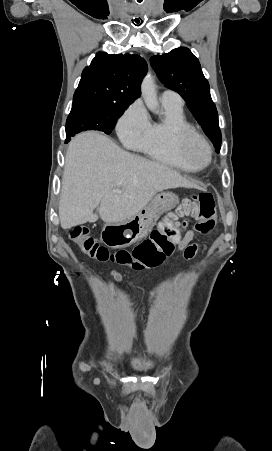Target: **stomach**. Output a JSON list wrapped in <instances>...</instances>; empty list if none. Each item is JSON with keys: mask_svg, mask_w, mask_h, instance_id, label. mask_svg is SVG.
Returning <instances> with one entry per match:
<instances>
[{"mask_svg": "<svg viewBox=\"0 0 272 451\" xmlns=\"http://www.w3.org/2000/svg\"><path fill=\"white\" fill-rule=\"evenodd\" d=\"M179 204V198L172 192H160L148 202L138 214L118 224H107L101 231V239L108 247H127L146 237L162 214L170 212Z\"/></svg>", "mask_w": 272, "mask_h": 451, "instance_id": "1", "label": "stomach"}]
</instances>
